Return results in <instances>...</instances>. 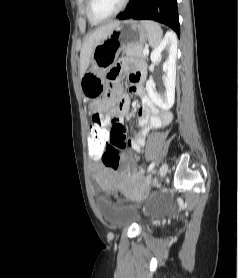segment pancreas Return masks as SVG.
Returning a JSON list of instances; mask_svg holds the SVG:
<instances>
[{"label": "pancreas", "instance_id": "pancreas-1", "mask_svg": "<svg viewBox=\"0 0 238 278\" xmlns=\"http://www.w3.org/2000/svg\"><path fill=\"white\" fill-rule=\"evenodd\" d=\"M143 50L144 47L141 45H129L124 49L123 54H126L127 56L130 57L145 59L147 55H144Z\"/></svg>", "mask_w": 238, "mask_h": 278}]
</instances>
